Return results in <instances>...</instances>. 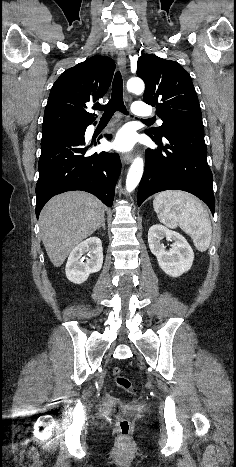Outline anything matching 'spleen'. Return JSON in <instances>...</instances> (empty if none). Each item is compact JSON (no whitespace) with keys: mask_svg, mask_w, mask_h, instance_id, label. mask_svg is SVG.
I'll return each instance as SVG.
<instances>
[{"mask_svg":"<svg viewBox=\"0 0 236 467\" xmlns=\"http://www.w3.org/2000/svg\"><path fill=\"white\" fill-rule=\"evenodd\" d=\"M153 207L161 223L172 229L179 226L192 238L199 251L207 250L212 226L207 211L197 198L181 191H164L156 195Z\"/></svg>","mask_w":236,"mask_h":467,"instance_id":"3e777b00","label":"spleen"}]
</instances>
